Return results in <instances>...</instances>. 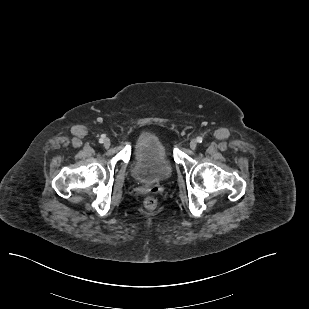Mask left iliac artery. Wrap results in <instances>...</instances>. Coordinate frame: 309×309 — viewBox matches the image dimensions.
<instances>
[{"mask_svg": "<svg viewBox=\"0 0 309 309\" xmlns=\"http://www.w3.org/2000/svg\"><path fill=\"white\" fill-rule=\"evenodd\" d=\"M196 141H197L198 143H202L203 139H202V137H197Z\"/></svg>", "mask_w": 309, "mask_h": 309, "instance_id": "1", "label": "left iliac artery"}]
</instances>
